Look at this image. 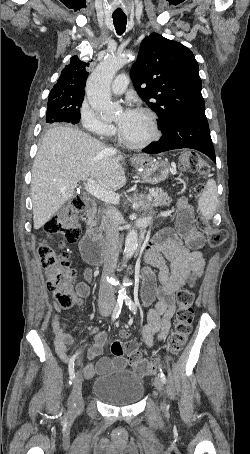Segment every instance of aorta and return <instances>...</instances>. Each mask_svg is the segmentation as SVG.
I'll return each instance as SVG.
<instances>
[{"instance_id":"762f6f07","label":"aorta","mask_w":250,"mask_h":454,"mask_svg":"<svg viewBox=\"0 0 250 454\" xmlns=\"http://www.w3.org/2000/svg\"><path fill=\"white\" fill-rule=\"evenodd\" d=\"M131 53H117L109 55L91 73L86 84V95L90 106L98 111L102 117H112L120 109L112 102L110 85L116 75L130 59ZM138 247L137 230L131 229L125 239L124 255L128 260ZM126 297L124 289L119 290V299Z\"/></svg>"}]
</instances>
